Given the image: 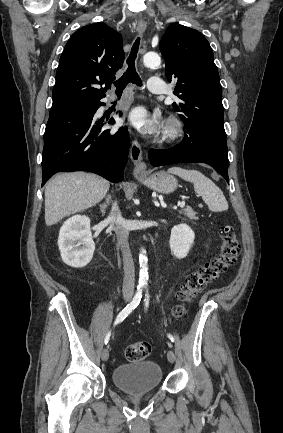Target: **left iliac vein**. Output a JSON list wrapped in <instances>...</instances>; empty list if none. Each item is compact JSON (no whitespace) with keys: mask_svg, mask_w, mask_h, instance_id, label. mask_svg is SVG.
I'll return each mask as SVG.
<instances>
[{"mask_svg":"<svg viewBox=\"0 0 283 433\" xmlns=\"http://www.w3.org/2000/svg\"><path fill=\"white\" fill-rule=\"evenodd\" d=\"M167 358L170 363H174L175 361V353L172 350L167 352Z\"/></svg>","mask_w":283,"mask_h":433,"instance_id":"left-iliac-vein-1","label":"left iliac vein"}]
</instances>
